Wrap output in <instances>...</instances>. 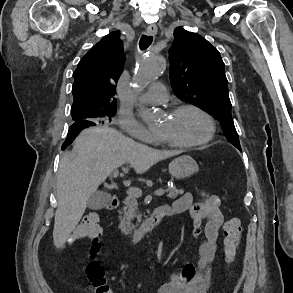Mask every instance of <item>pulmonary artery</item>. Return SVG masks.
Listing matches in <instances>:
<instances>
[{
	"instance_id": "obj_1",
	"label": "pulmonary artery",
	"mask_w": 293,
	"mask_h": 293,
	"mask_svg": "<svg viewBox=\"0 0 293 293\" xmlns=\"http://www.w3.org/2000/svg\"><path fill=\"white\" fill-rule=\"evenodd\" d=\"M145 102L151 104H162L166 102L168 94L163 83H154L141 97Z\"/></svg>"
}]
</instances>
